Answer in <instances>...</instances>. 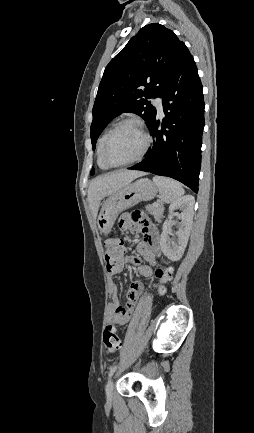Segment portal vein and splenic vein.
<instances>
[{"mask_svg": "<svg viewBox=\"0 0 254 433\" xmlns=\"http://www.w3.org/2000/svg\"><path fill=\"white\" fill-rule=\"evenodd\" d=\"M158 204H159V201H158V202H156V203H155L154 205H155V206H157Z\"/></svg>", "mask_w": 254, "mask_h": 433, "instance_id": "18ae733b", "label": "portal vein and splenic vein"}]
</instances>
